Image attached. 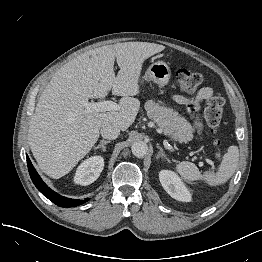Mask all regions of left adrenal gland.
Listing matches in <instances>:
<instances>
[{
  "label": "left adrenal gland",
  "mask_w": 262,
  "mask_h": 262,
  "mask_svg": "<svg viewBox=\"0 0 262 262\" xmlns=\"http://www.w3.org/2000/svg\"><path fill=\"white\" fill-rule=\"evenodd\" d=\"M158 149L160 150L159 153L157 154V159L160 157H164L168 162L170 161L169 158L167 157V155L164 153L162 147H160L159 145L157 146Z\"/></svg>",
  "instance_id": "obj_1"
}]
</instances>
